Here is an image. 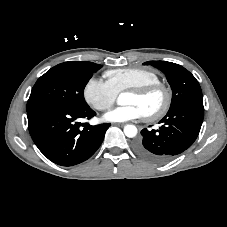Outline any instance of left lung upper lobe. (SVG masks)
Wrapping results in <instances>:
<instances>
[{"mask_svg":"<svg viewBox=\"0 0 227 227\" xmlns=\"http://www.w3.org/2000/svg\"><path fill=\"white\" fill-rule=\"evenodd\" d=\"M143 65H151L166 75L173 92L169 111L187 105L203 106L200 85L184 67L167 61H148Z\"/></svg>","mask_w":227,"mask_h":227,"instance_id":"obj_1","label":"left lung upper lobe"}]
</instances>
